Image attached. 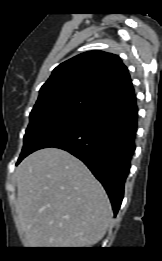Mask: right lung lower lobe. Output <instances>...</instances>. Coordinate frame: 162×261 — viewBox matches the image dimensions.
Instances as JSON below:
<instances>
[{
  "instance_id": "98d812e1",
  "label": "right lung lower lobe",
  "mask_w": 162,
  "mask_h": 261,
  "mask_svg": "<svg viewBox=\"0 0 162 261\" xmlns=\"http://www.w3.org/2000/svg\"><path fill=\"white\" fill-rule=\"evenodd\" d=\"M137 117L134 92L116 97L63 124L34 151L56 147L82 160L104 186L116 215L135 151Z\"/></svg>"
}]
</instances>
